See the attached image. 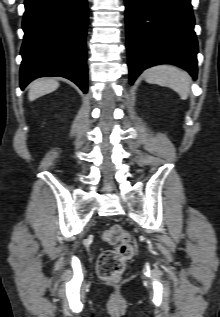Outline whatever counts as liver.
Wrapping results in <instances>:
<instances>
[{
    "label": "liver",
    "instance_id": "liver-1",
    "mask_svg": "<svg viewBox=\"0 0 220 317\" xmlns=\"http://www.w3.org/2000/svg\"><path fill=\"white\" fill-rule=\"evenodd\" d=\"M58 87V81L53 78L39 79L30 85L28 98L30 101H33L43 95L55 91Z\"/></svg>",
    "mask_w": 220,
    "mask_h": 317
}]
</instances>
